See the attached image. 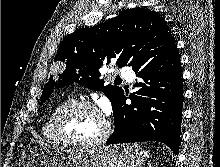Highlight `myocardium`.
I'll return each mask as SVG.
<instances>
[{
    "label": "myocardium",
    "instance_id": "myocardium-1",
    "mask_svg": "<svg viewBox=\"0 0 220 167\" xmlns=\"http://www.w3.org/2000/svg\"><path fill=\"white\" fill-rule=\"evenodd\" d=\"M77 107L88 108L101 116L103 127L98 137L91 140H76L70 138L68 135L65 134L63 130V122L66 119V117L69 115V113ZM54 131L58 139L63 144L75 146V147L90 148L101 145L107 141V139L111 134V121L108 115L95 103L85 99H74L66 103L64 106H62L58 111V113L56 114L54 120Z\"/></svg>",
    "mask_w": 220,
    "mask_h": 167
}]
</instances>
